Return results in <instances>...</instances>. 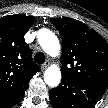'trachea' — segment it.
Segmentation results:
<instances>
[{
    "label": "trachea",
    "instance_id": "1",
    "mask_svg": "<svg viewBox=\"0 0 108 108\" xmlns=\"http://www.w3.org/2000/svg\"><path fill=\"white\" fill-rule=\"evenodd\" d=\"M34 61L37 64H43L45 62V55L42 52H37Z\"/></svg>",
    "mask_w": 108,
    "mask_h": 108
}]
</instances>
